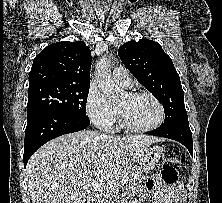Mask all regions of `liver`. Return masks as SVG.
<instances>
[{
  "label": "liver",
  "mask_w": 222,
  "mask_h": 203,
  "mask_svg": "<svg viewBox=\"0 0 222 203\" xmlns=\"http://www.w3.org/2000/svg\"><path fill=\"white\" fill-rule=\"evenodd\" d=\"M159 139L147 135L100 137L89 130L55 138L26 167L32 203H85L92 182H112L139 162Z\"/></svg>",
  "instance_id": "obj_1"
}]
</instances>
